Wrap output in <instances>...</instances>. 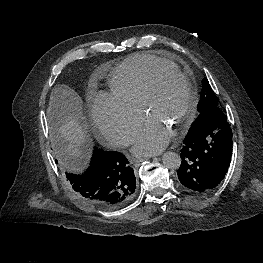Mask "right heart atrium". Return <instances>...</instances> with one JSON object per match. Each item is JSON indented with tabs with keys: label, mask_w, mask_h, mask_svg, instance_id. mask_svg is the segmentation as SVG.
<instances>
[{
	"label": "right heart atrium",
	"mask_w": 263,
	"mask_h": 263,
	"mask_svg": "<svg viewBox=\"0 0 263 263\" xmlns=\"http://www.w3.org/2000/svg\"><path fill=\"white\" fill-rule=\"evenodd\" d=\"M91 114L99 134L121 147L131 143L142 120L139 108L118 100L110 93H100L93 100Z\"/></svg>",
	"instance_id": "d8ad5b80"
}]
</instances>
